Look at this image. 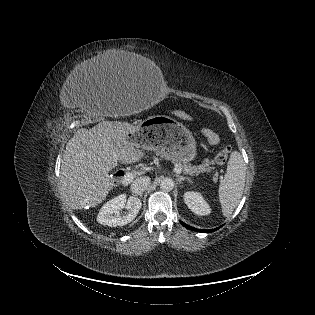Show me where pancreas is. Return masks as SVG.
Instances as JSON below:
<instances>
[{"label":"pancreas","mask_w":315,"mask_h":315,"mask_svg":"<svg viewBox=\"0 0 315 315\" xmlns=\"http://www.w3.org/2000/svg\"><path fill=\"white\" fill-rule=\"evenodd\" d=\"M213 164V161H210L206 159L203 161L201 165L192 166L190 163H176V167L180 168L181 171L189 176L198 175L200 173L204 172H211L212 170H215V167L211 166ZM218 176L217 171L215 170L213 179L216 180Z\"/></svg>","instance_id":"pancreas-1"}]
</instances>
